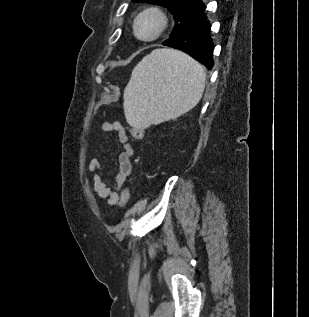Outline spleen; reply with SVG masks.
Listing matches in <instances>:
<instances>
[{"label": "spleen", "instance_id": "3e777b00", "mask_svg": "<svg viewBox=\"0 0 309 317\" xmlns=\"http://www.w3.org/2000/svg\"><path fill=\"white\" fill-rule=\"evenodd\" d=\"M206 73L183 52L162 48L146 55L133 69L124 90V113L133 127L146 128L175 119L202 98Z\"/></svg>", "mask_w": 309, "mask_h": 317}]
</instances>
